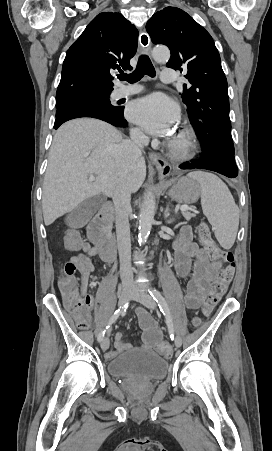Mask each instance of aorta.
Masks as SVG:
<instances>
[{
    "instance_id": "aorta-1",
    "label": "aorta",
    "mask_w": 272,
    "mask_h": 451,
    "mask_svg": "<svg viewBox=\"0 0 272 451\" xmlns=\"http://www.w3.org/2000/svg\"><path fill=\"white\" fill-rule=\"evenodd\" d=\"M152 56L157 62H164V60H169L170 52L166 46L162 48H153ZM155 198L152 192H148L146 198L143 200V204L140 210V220H139V239L144 243L146 241L149 231L152 227L154 214H155Z\"/></svg>"
}]
</instances>
